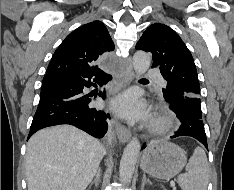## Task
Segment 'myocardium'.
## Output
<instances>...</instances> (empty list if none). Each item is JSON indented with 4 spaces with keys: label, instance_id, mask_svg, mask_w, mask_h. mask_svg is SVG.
<instances>
[{
    "label": "myocardium",
    "instance_id": "obj_1",
    "mask_svg": "<svg viewBox=\"0 0 234 190\" xmlns=\"http://www.w3.org/2000/svg\"><path fill=\"white\" fill-rule=\"evenodd\" d=\"M174 119L170 112L161 109L157 111L149 123V130L153 133H163L171 129Z\"/></svg>",
    "mask_w": 234,
    "mask_h": 190
}]
</instances>
